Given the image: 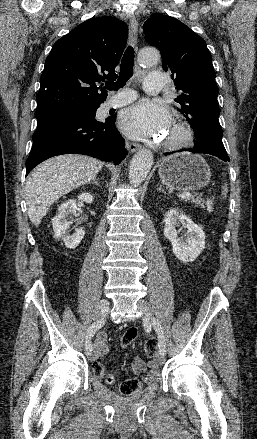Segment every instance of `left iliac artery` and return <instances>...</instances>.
I'll return each mask as SVG.
<instances>
[{
    "label": "left iliac artery",
    "mask_w": 257,
    "mask_h": 439,
    "mask_svg": "<svg viewBox=\"0 0 257 439\" xmlns=\"http://www.w3.org/2000/svg\"><path fill=\"white\" fill-rule=\"evenodd\" d=\"M153 325H154V329L158 335L159 351L162 352L163 354H166V342H165V337H164L162 326L160 325L158 320H156L155 318L153 319Z\"/></svg>",
    "instance_id": "1"
}]
</instances>
